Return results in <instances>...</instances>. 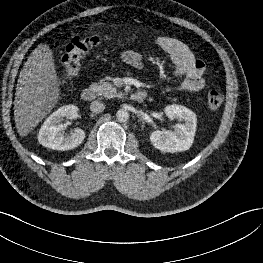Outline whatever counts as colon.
<instances>
[{
    "label": "colon",
    "mask_w": 263,
    "mask_h": 263,
    "mask_svg": "<svg viewBox=\"0 0 263 263\" xmlns=\"http://www.w3.org/2000/svg\"><path fill=\"white\" fill-rule=\"evenodd\" d=\"M103 39L104 37L100 35H80L70 40L62 57L63 84L79 72L85 55ZM223 100L224 96L220 91L211 90L207 95V106L210 110H216L222 105Z\"/></svg>",
    "instance_id": "5ec220e1"
}]
</instances>
